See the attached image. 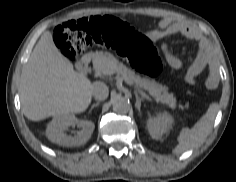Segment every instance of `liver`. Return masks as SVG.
Wrapping results in <instances>:
<instances>
[{
  "mask_svg": "<svg viewBox=\"0 0 236 182\" xmlns=\"http://www.w3.org/2000/svg\"><path fill=\"white\" fill-rule=\"evenodd\" d=\"M93 84L56 47L45 31L21 73L19 95L23 114L32 121L84 112Z\"/></svg>",
  "mask_w": 236,
  "mask_h": 182,
  "instance_id": "liver-1",
  "label": "liver"
}]
</instances>
